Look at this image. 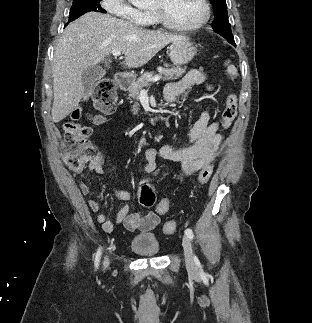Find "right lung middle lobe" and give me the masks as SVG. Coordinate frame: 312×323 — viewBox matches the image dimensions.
Instances as JSON below:
<instances>
[{
  "mask_svg": "<svg viewBox=\"0 0 312 323\" xmlns=\"http://www.w3.org/2000/svg\"><path fill=\"white\" fill-rule=\"evenodd\" d=\"M100 1L101 0H73L68 23L86 12L96 11L106 13V11L101 7Z\"/></svg>",
  "mask_w": 312,
  "mask_h": 323,
  "instance_id": "dd1d6c3e",
  "label": "right lung middle lobe"
}]
</instances>
